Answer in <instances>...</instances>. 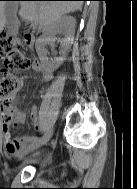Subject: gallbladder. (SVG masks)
<instances>
[{
    "label": "gallbladder",
    "instance_id": "gallbladder-1",
    "mask_svg": "<svg viewBox=\"0 0 137 189\" xmlns=\"http://www.w3.org/2000/svg\"><path fill=\"white\" fill-rule=\"evenodd\" d=\"M5 8L7 34L16 35L19 28V20L17 18V9L19 4L17 2H8Z\"/></svg>",
    "mask_w": 137,
    "mask_h": 189
}]
</instances>
